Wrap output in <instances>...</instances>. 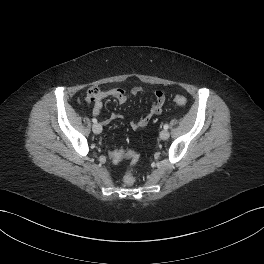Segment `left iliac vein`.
Here are the masks:
<instances>
[{
    "label": "left iliac vein",
    "instance_id": "obj_1",
    "mask_svg": "<svg viewBox=\"0 0 264 264\" xmlns=\"http://www.w3.org/2000/svg\"><path fill=\"white\" fill-rule=\"evenodd\" d=\"M170 136V133L165 129L160 132V138L162 140H167Z\"/></svg>",
    "mask_w": 264,
    "mask_h": 264
}]
</instances>
